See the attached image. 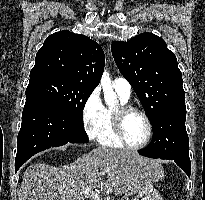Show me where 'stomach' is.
Masks as SVG:
<instances>
[{
  "instance_id": "1",
  "label": "stomach",
  "mask_w": 205,
  "mask_h": 200,
  "mask_svg": "<svg viewBox=\"0 0 205 200\" xmlns=\"http://www.w3.org/2000/svg\"><path fill=\"white\" fill-rule=\"evenodd\" d=\"M159 172L162 170L160 166L156 168ZM134 200H163L162 196L158 193L156 189L153 188L152 182L141 186Z\"/></svg>"
}]
</instances>
